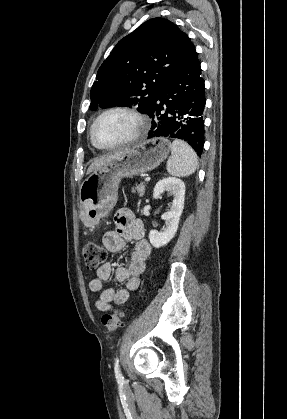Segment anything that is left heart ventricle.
Here are the masks:
<instances>
[{
	"instance_id": "left-heart-ventricle-1",
	"label": "left heart ventricle",
	"mask_w": 287,
	"mask_h": 419,
	"mask_svg": "<svg viewBox=\"0 0 287 419\" xmlns=\"http://www.w3.org/2000/svg\"><path fill=\"white\" fill-rule=\"evenodd\" d=\"M137 123L128 114L113 112L105 115L95 127V137L102 144H116L134 134Z\"/></svg>"
}]
</instances>
